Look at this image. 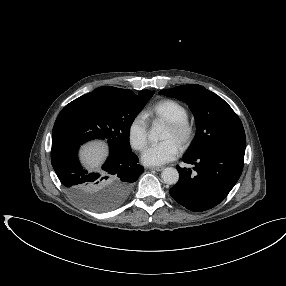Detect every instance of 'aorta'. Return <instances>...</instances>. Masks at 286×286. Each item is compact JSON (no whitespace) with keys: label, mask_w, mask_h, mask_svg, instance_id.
Returning <instances> with one entry per match:
<instances>
[{"label":"aorta","mask_w":286,"mask_h":286,"mask_svg":"<svg viewBox=\"0 0 286 286\" xmlns=\"http://www.w3.org/2000/svg\"><path fill=\"white\" fill-rule=\"evenodd\" d=\"M162 132H163V127L161 125L155 124L152 126V128L148 132V138L151 141H158L162 139V136H163ZM161 178L164 183L173 185L178 182L179 173L177 169L173 167H167L162 171Z\"/></svg>","instance_id":"aorta-1"}]
</instances>
